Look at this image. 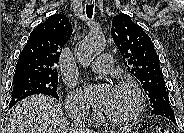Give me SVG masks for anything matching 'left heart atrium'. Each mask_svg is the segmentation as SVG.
Listing matches in <instances>:
<instances>
[{"label": "left heart atrium", "instance_id": "39dd6f15", "mask_svg": "<svg viewBox=\"0 0 184 133\" xmlns=\"http://www.w3.org/2000/svg\"><path fill=\"white\" fill-rule=\"evenodd\" d=\"M110 85L89 86L85 88V97L97 109L104 110L113 94Z\"/></svg>", "mask_w": 184, "mask_h": 133}]
</instances>
